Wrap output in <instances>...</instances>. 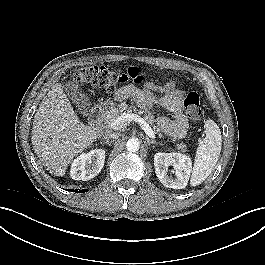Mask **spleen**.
Wrapping results in <instances>:
<instances>
[{
    "label": "spleen",
    "mask_w": 265,
    "mask_h": 265,
    "mask_svg": "<svg viewBox=\"0 0 265 265\" xmlns=\"http://www.w3.org/2000/svg\"><path fill=\"white\" fill-rule=\"evenodd\" d=\"M206 129L205 138L199 142L196 151L195 162L190 179L192 186L201 184L211 174L221 152V131L213 120H207L204 125Z\"/></svg>",
    "instance_id": "3e777b00"
}]
</instances>
